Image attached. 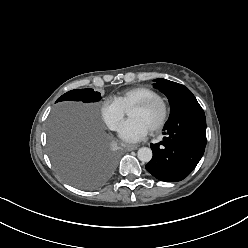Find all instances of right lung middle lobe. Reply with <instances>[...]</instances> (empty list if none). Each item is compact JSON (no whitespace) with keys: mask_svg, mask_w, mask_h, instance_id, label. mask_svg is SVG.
<instances>
[{"mask_svg":"<svg viewBox=\"0 0 248 248\" xmlns=\"http://www.w3.org/2000/svg\"><path fill=\"white\" fill-rule=\"evenodd\" d=\"M101 94L93 89H76L62 95L59 101L97 102ZM49 152L58 173L80 189H95L112 175L115 160L106 149V139L95 120L88 117L85 130L78 135L61 128L49 134Z\"/></svg>","mask_w":248,"mask_h":248,"instance_id":"obj_1","label":"right lung middle lobe"}]
</instances>
